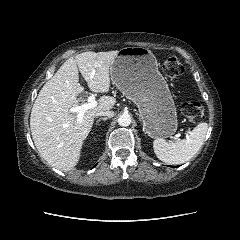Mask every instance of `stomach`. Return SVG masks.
Listing matches in <instances>:
<instances>
[{"label":"stomach","instance_id":"0dacf381","mask_svg":"<svg viewBox=\"0 0 240 240\" xmlns=\"http://www.w3.org/2000/svg\"><path fill=\"white\" fill-rule=\"evenodd\" d=\"M110 74L113 84L137 105L146 134L166 138L176 132V107L151 50L144 47L120 49L111 64Z\"/></svg>","mask_w":240,"mask_h":240}]
</instances>
